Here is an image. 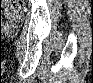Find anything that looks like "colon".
<instances>
[{"label": "colon", "instance_id": "1", "mask_svg": "<svg viewBox=\"0 0 93 83\" xmlns=\"http://www.w3.org/2000/svg\"><path fill=\"white\" fill-rule=\"evenodd\" d=\"M23 4L22 1H7L4 2L2 6V12L6 11H15L17 6H21Z\"/></svg>", "mask_w": 93, "mask_h": 83}]
</instances>
